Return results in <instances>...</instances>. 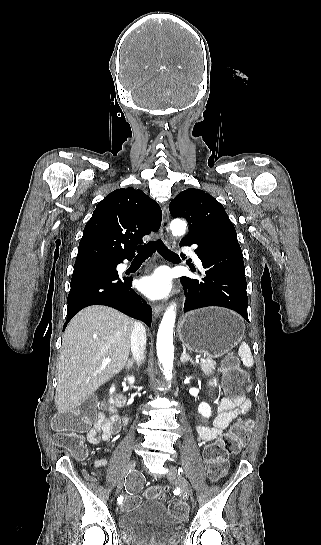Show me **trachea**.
Returning a JSON list of instances; mask_svg holds the SVG:
<instances>
[{
    "label": "trachea",
    "instance_id": "obj_1",
    "mask_svg": "<svg viewBox=\"0 0 321 545\" xmlns=\"http://www.w3.org/2000/svg\"><path fill=\"white\" fill-rule=\"evenodd\" d=\"M157 251L162 257L166 258L167 260H180V257L169 250L162 240H156L153 242H148L146 245H141L137 247V256L135 258H148L153 255V253Z\"/></svg>",
    "mask_w": 321,
    "mask_h": 545
}]
</instances>
